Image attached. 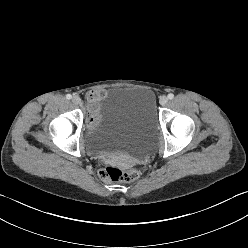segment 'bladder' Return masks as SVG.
Listing matches in <instances>:
<instances>
[{
  "label": "bladder",
  "mask_w": 248,
  "mask_h": 248,
  "mask_svg": "<svg viewBox=\"0 0 248 248\" xmlns=\"http://www.w3.org/2000/svg\"><path fill=\"white\" fill-rule=\"evenodd\" d=\"M157 119L152 92L122 88L100 105L90 145L98 152L142 157L155 146Z\"/></svg>",
  "instance_id": "1"
}]
</instances>
